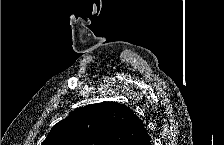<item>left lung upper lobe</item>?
<instances>
[{"label": "left lung upper lobe", "mask_w": 224, "mask_h": 145, "mask_svg": "<svg viewBox=\"0 0 224 145\" xmlns=\"http://www.w3.org/2000/svg\"><path fill=\"white\" fill-rule=\"evenodd\" d=\"M144 129L126 105L102 102L77 109L58 122L42 145H135Z\"/></svg>", "instance_id": "5c2ea615"}]
</instances>
